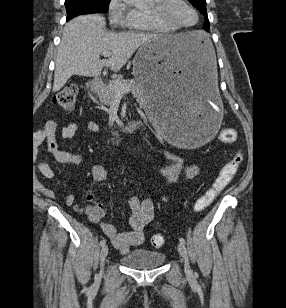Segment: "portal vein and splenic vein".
<instances>
[{"label":"portal vein and splenic vein","mask_w":286,"mask_h":308,"mask_svg":"<svg viewBox=\"0 0 286 308\" xmlns=\"http://www.w3.org/2000/svg\"><path fill=\"white\" fill-rule=\"evenodd\" d=\"M102 55H103L104 57H109V56L111 55V52H109V51H103V52H102ZM115 88H116V91H117V95H118V96L123 95V94L128 93V92L131 91L130 87L125 86V85H123V84H121V83H119V82H116Z\"/></svg>","instance_id":"obj_1"}]
</instances>
